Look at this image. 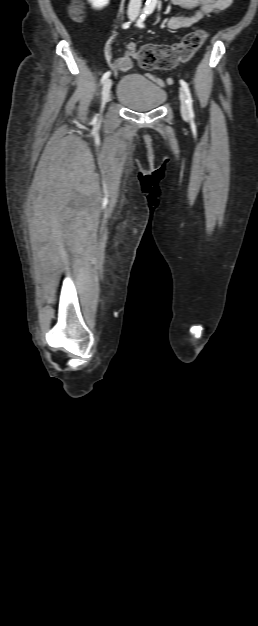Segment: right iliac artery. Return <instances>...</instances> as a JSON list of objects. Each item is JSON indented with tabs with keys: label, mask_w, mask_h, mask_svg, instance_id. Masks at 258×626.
I'll list each match as a JSON object with an SVG mask.
<instances>
[{
	"label": "right iliac artery",
	"mask_w": 258,
	"mask_h": 626,
	"mask_svg": "<svg viewBox=\"0 0 258 626\" xmlns=\"http://www.w3.org/2000/svg\"><path fill=\"white\" fill-rule=\"evenodd\" d=\"M145 14H146V11L144 10V11H142V12H141L140 17H141V16H143V15H145ZM130 25H131V22H125V23L122 25V28H123V29H127V28H129V27H130ZM110 74H111V72H110V71H107L106 73H104V75H103V76H102V78H101V83H103V82H104V81H105V80H106V79L110 76Z\"/></svg>",
	"instance_id": "1"
}]
</instances>
